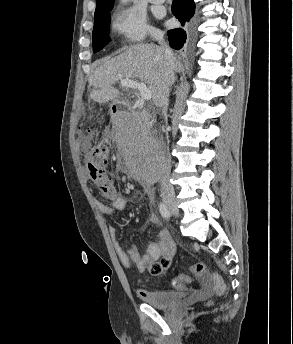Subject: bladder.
<instances>
[{
  "label": "bladder",
  "mask_w": 293,
  "mask_h": 344,
  "mask_svg": "<svg viewBox=\"0 0 293 344\" xmlns=\"http://www.w3.org/2000/svg\"><path fill=\"white\" fill-rule=\"evenodd\" d=\"M143 299L156 308L164 309L185 299V293L170 289L144 290Z\"/></svg>",
  "instance_id": "bladder-1"
}]
</instances>
